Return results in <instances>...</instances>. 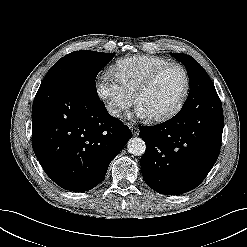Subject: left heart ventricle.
Listing matches in <instances>:
<instances>
[{
    "instance_id": "1",
    "label": "left heart ventricle",
    "mask_w": 247,
    "mask_h": 247,
    "mask_svg": "<svg viewBox=\"0 0 247 247\" xmlns=\"http://www.w3.org/2000/svg\"><path fill=\"white\" fill-rule=\"evenodd\" d=\"M184 86L185 77L182 70L177 67L169 68L141 96L138 106L149 116L164 113L177 103Z\"/></svg>"
}]
</instances>
